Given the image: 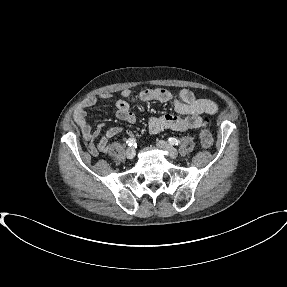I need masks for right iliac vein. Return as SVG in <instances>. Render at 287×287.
I'll return each mask as SVG.
<instances>
[{
    "instance_id": "1",
    "label": "right iliac vein",
    "mask_w": 287,
    "mask_h": 287,
    "mask_svg": "<svg viewBox=\"0 0 287 287\" xmlns=\"http://www.w3.org/2000/svg\"><path fill=\"white\" fill-rule=\"evenodd\" d=\"M125 154H126V157L128 159H133L135 157V154H136L135 149L133 147H129V148H127Z\"/></svg>"
}]
</instances>
